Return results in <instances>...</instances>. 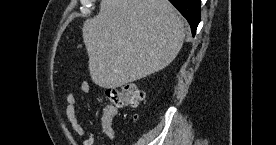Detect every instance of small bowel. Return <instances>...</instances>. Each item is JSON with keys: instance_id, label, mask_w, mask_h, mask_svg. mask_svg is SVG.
Instances as JSON below:
<instances>
[{"instance_id": "small-bowel-1", "label": "small bowel", "mask_w": 276, "mask_h": 145, "mask_svg": "<svg viewBox=\"0 0 276 145\" xmlns=\"http://www.w3.org/2000/svg\"><path fill=\"white\" fill-rule=\"evenodd\" d=\"M90 84L86 81L80 85V92L87 94L90 92ZM77 99L74 93H68L66 96L65 116L71 129L80 136L84 137L82 145H94L95 138L92 132L82 126L76 116ZM101 129L103 134L110 140L116 139V134L113 130V123L109 117L101 118Z\"/></svg>"}]
</instances>
